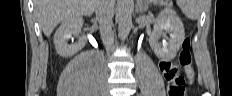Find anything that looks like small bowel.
I'll list each match as a JSON object with an SVG mask.
<instances>
[{"mask_svg": "<svg viewBox=\"0 0 232 96\" xmlns=\"http://www.w3.org/2000/svg\"><path fill=\"white\" fill-rule=\"evenodd\" d=\"M159 68L161 71H162V68H172V63H159ZM185 72L189 78L193 77V70L191 67L187 68Z\"/></svg>", "mask_w": 232, "mask_h": 96, "instance_id": "small-bowel-1", "label": "small bowel"}]
</instances>
